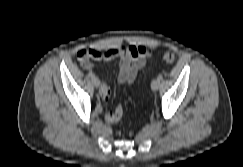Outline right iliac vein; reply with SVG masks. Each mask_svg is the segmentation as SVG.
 <instances>
[{
  "instance_id": "obj_1",
  "label": "right iliac vein",
  "mask_w": 243,
  "mask_h": 167,
  "mask_svg": "<svg viewBox=\"0 0 243 167\" xmlns=\"http://www.w3.org/2000/svg\"><path fill=\"white\" fill-rule=\"evenodd\" d=\"M92 83H93L94 87H96V88H98V87L100 86V81H99V79L96 78V77H94V78L92 79Z\"/></svg>"
}]
</instances>
